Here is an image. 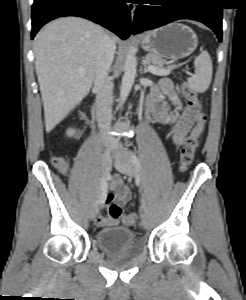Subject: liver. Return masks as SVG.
<instances>
[{
  "mask_svg": "<svg viewBox=\"0 0 246 300\" xmlns=\"http://www.w3.org/2000/svg\"><path fill=\"white\" fill-rule=\"evenodd\" d=\"M103 34L100 26L86 19L63 17L52 21L36 35L35 69L47 132L89 93Z\"/></svg>",
  "mask_w": 246,
  "mask_h": 300,
  "instance_id": "liver-1",
  "label": "liver"
}]
</instances>
